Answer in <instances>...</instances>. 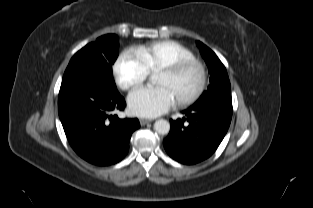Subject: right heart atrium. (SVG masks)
I'll list each match as a JSON object with an SVG mask.
<instances>
[{"label":"right heart atrium","mask_w":313,"mask_h":208,"mask_svg":"<svg viewBox=\"0 0 313 208\" xmlns=\"http://www.w3.org/2000/svg\"><path fill=\"white\" fill-rule=\"evenodd\" d=\"M113 72L116 82L123 90L139 86L148 76V70L135 51L122 53L114 64Z\"/></svg>","instance_id":"right-heart-atrium-1"}]
</instances>
